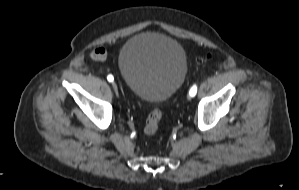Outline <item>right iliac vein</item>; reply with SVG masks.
Listing matches in <instances>:
<instances>
[{
  "label": "right iliac vein",
  "instance_id": "1",
  "mask_svg": "<svg viewBox=\"0 0 299 190\" xmlns=\"http://www.w3.org/2000/svg\"><path fill=\"white\" fill-rule=\"evenodd\" d=\"M112 87H113L115 93L118 94V86H117L116 82H112Z\"/></svg>",
  "mask_w": 299,
  "mask_h": 190
}]
</instances>
